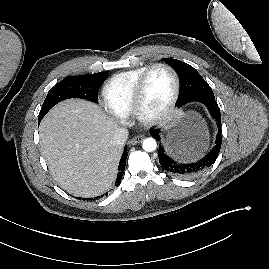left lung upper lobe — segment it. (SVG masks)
Returning a JSON list of instances; mask_svg holds the SVG:
<instances>
[{"mask_svg":"<svg viewBox=\"0 0 269 269\" xmlns=\"http://www.w3.org/2000/svg\"><path fill=\"white\" fill-rule=\"evenodd\" d=\"M163 60L171 65L179 76L181 85L179 103H185L196 98L214 97L211 87L195 68L176 59L165 58Z\"/></svg>","mask_w":269,"mask_h":269,"instance_id":"5c2ea615","label":"left lung upper lobe"}]
</instances>
